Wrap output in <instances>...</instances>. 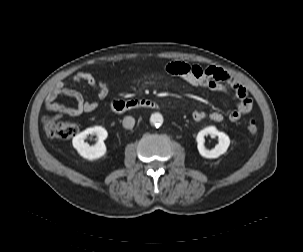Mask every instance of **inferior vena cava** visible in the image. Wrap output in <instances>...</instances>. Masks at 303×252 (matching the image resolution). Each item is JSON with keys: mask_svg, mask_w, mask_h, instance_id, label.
Listing matches in <instances>:
<instances>
[{"mask_svg": "<svg viewBox=\"0 0 303 252\" xmlns=\"http://www.w3.org/2000/svg\"><path fill=\"white\" fill-rule=\"evenodd\" d=\"M134 124H135V119L131 116H126L123 119V127L126 128V129L133 128Z\"/></svg>", "mask_w": 303, "mask_h": 252, "instance_id": "1", "label": "inferior vena cava"}]
</instances>
